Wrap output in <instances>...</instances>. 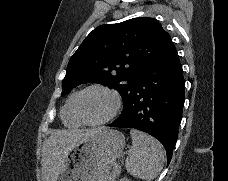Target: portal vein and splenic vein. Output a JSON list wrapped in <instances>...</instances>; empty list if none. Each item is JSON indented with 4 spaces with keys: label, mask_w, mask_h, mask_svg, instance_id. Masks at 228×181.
Instances as JSON below:
<instances>
[{
    "label": "portal vein and splenic vein",
    "mask_w": 228,
    "mask_h": 181,
    "mask_svg": "<svg viewBox=\"0 0 228 181\" xmlns=\"http://www.w3.org/2000/svg\"><path fill=\"white\" fill-rule=\"evenodd\" d=\"M114 168H115V169H118V168H119V165H118V164H115V165H114Z\"/></svg>",
    "instance_id": "portal-vein-and-splenic-vein-1"
}]
</instances>
